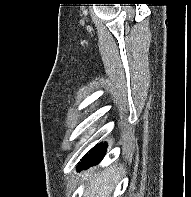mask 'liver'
<instances>
[{"label":"liver","mask_w":191,"mask_h":197,"mask_svg":"<svg viewBox=\"0 0 191 197\" xmlns=\"http://www.w3.org/2000/svg\"><path fill=\"white\" fill-rule=\"evenodd\" d=\"M119 177L120 169L115 167L105 169L90 180L84 197H109Z\"/></svg>","instance_id":"obj_1"}]
</instances>
